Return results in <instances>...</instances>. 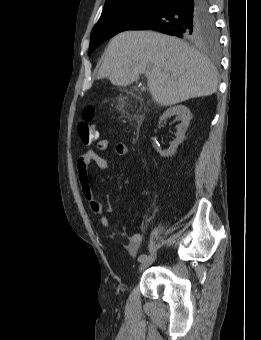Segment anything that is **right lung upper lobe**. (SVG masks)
<instances>
[{
  "label": "right lung upper lobe",
  "mask_w": 261,
  "mask_h": 340,
  "mask_svg": "<svg viewBox=\"0 0 261 340\" xmlns=\"http://www.w3.org/2000/svg\"><path fill=\"white\" fill-rule=\"evenodd\" d=\"M135 1H143V0H106L103 11L109 8H112V7L125 5L131 2H135Z\"/></svg>",
  "instance_id": "cb5924a9"
}]
</instances>
